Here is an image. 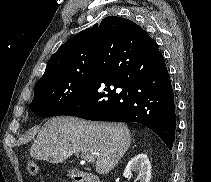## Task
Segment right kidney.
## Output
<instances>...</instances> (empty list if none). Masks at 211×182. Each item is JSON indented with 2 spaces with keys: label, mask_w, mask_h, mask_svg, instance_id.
Segmentation results:
<instances>
[{
  "label": "right kidney",
  "mask_w": 211,
  "mask_h": 182,
  "mask_svg": "<svg viewBox=\"0 0 211 182\" xmlns=\"http://www.w3.org/2000/svg\"><path fill=\"white\" fill-rule=\"evenodd\" d=\"M132 172L138 174L137 180L139 182H150L151 178V163L146 154H138L132 158L123 173L125 178H131Z\"/></svg>",
  "instance_id": "right-kidney-1"
}]
</instances>
